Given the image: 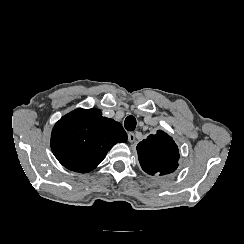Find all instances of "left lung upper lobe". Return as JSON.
<instances>
[{
  "label": "left lung upper lobe",
  "instance_id": "1",
  "mask_svg": "<svg viewBox=\"0 0 244 244\" xmlns=\"http://www.w3.org/2000/svg\"><path fill=\"white\" fill-rule=\"evenodd\" d=\"M142 169L150 175H166L178 167L179 152L174 140L162 130L137 145Z\"/></svg>",
  "mask_w": 244,
  "mask_h": 244
}]
</instances>
